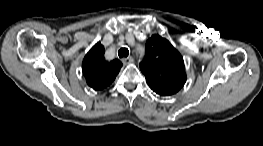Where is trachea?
<instances>
[{"mask_svg":"<svg viewBox=\"0 0 263 146\" xmlns=\"http://www.w3.org/2000/svg\"><path fill=\"white\" fill-rule=\"evenodd\" d=\"M128 55H129V50L127 48L124 47V48L119 49L118 56L120 58L127 57Z\"/></svg>","mask_w":263,"mask_h":146,"instance_id":"trachea-1","label":"trachea"}]
</instances>
